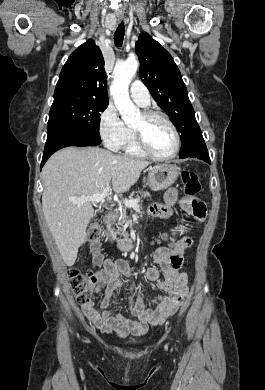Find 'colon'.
Returning <instances> with one entry per match:
<instances>
[{
  "label": "colon",
  "instance_id": "obj_1",
  "mask_svg": "<svg viewBox=\"0 0 265 390\" xmlns=\"http://www.w3.org/2000/svg\"><path fill=\"white\" fill-rule=\"evenodd\" d=\"M181 180L183 189L188 196L193 197L200 192L201 185L195 173L182 171ZM100 234L101 228L98 224H92L86 234V242L94 252L93 262L95 265L101 258V255L97 253L100 244ZM69 279L77 303L81 306L89 304L92 301L93 285L96 281L95 276L89 271L84 272L79 269H71Z\"/></svg>",
  "mask_w": 265,
  "mask_h": 390
}]
</instances>
